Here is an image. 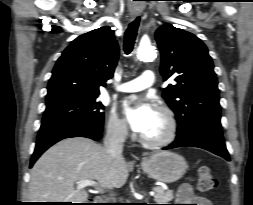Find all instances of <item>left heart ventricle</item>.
Here are the masks:
<instances>
[{"mask_svg":"<svg viewBox=\"0 0 253 205\" xmlns=\"http://www.w3.org/2000/svg\"><path fill=\"white\" fill-rule=\"evenodd\" d=\"M166 132V122L162 114L156 111L153 120L151 121L148 128L141 134L146 138H159Z\"/></svg>","mask_w":253,"mask_h":205,"instance_id":"1","label":"left heart ventricle"}]
</instances>
